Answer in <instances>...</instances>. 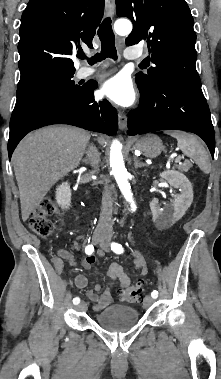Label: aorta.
Here are the masks:
<instances>
[{
	"mask_svg": "<svg viewBox=\"0 0 221 379\" xmlns=\"http://www.w3.org/2000/svg\"><path fill=\"white\" fill-rule=\"evenodd\" d=\"M114 29L118 35H128L132 31V24L129 20L120 19L115 22ZM110 167L121 193L130 203L131 210L135 211L136 205L133 200L128 173L123 160L122 144L118 140H113L110 147Z\"/></svg>",
	"mask_w": 221,
	"mask_h": 379,
	"instance_id": "1",
	"label": "aorta"
}]
</instances>
